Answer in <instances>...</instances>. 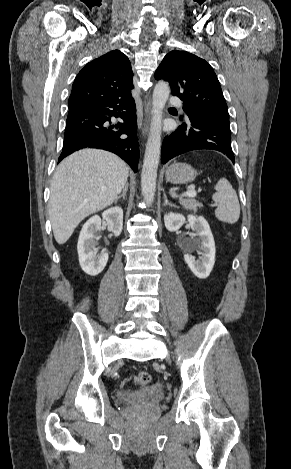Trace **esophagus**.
<instances>
[{
  "label": "esophagus",
  "instance_id": "obj_1",
  "mask_svg": "<svg viewBox=\"0 0 291 469\" xmlns=\"http://www.w3.org/2000/svg\"><path fill=\"white\" fill-rule=\"evenodd\" d=\"M145 117H144V122H143V127H142V135L145 137L148 133L149 129V121H150V115H151V100L150 98H147L146 103H145Z\"/></svg>",
  "mask_w": 291,
  "mask_h": 469
}]
</instances>
